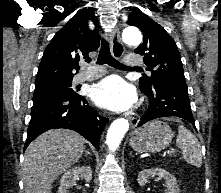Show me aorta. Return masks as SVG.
<instances>
[{
	"mask_svg": "<svg viewBox=\"0 0 221 193\" xmlns=\"http://www.w3.org/2000/svg\"><path fill=\"white\" fill-rule=\"evenodd\" d=\"M123 41L129 45H139L142 41L140 31L135 27H127L123 31ZM128 129L129 122L124 118H119L111 124L106 138L107 145L111 151H115L118 148Z\"/></svg>",
	"mask_w": 221,
	"mask_h": 193,
	"instance_id": "762f6f07",
	"label": "aorta"
}]
</instances>
